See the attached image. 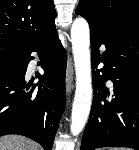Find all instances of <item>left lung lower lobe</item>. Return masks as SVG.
I'll return each instance as SVG.
<instances>
[{
  "instance_id": "0a47b994",
  "label": "left lung lower lobe",
  "mask_w": 139,
  "mask_h": 150,
  "mask_svg": "<svg viewBox=\"0 0 139 150\" xmlns=\"http://www.w3.org/2000/svg\"><path fill=\"white\" fill-rule=\"evenodd\" d=\"M94 97L81 150L123 146L139 150V25L111 37L90 29ZM105 46L100 54L99 48ZM110 79V91L105 82Z\"/></svg>"
}]
</instances>
